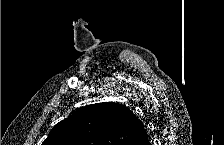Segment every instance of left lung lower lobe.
I'll return each mask as SVG.
<instances>
[{
	"label": "left lung lower lobe",
	"instance_id": "left-lung-lower-lobe-1",
	"mask_svg": "<svg viewBox=\"0 0 224 145\" xmlns=\"http://www.w3.org/2000/svg\"><path fill=\"white\" fill-rule=\"evenodd\" d=\"M135 145H150V141L146 130L142 132L140 138L138 139Z\"/></svg>",
	"mask_w": 224,
	"mask_h": 145
}]
</instances>
